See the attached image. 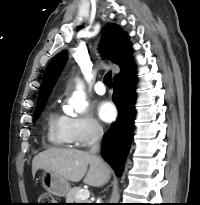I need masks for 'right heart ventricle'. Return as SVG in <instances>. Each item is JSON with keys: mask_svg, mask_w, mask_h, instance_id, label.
I'll return each instance as SVG.
<instances>
[{"mask_svg": "<svg viewBox=\"0 0 200 205\" xmlns=\"http://www.w3.org/2000/svg\"><path fill=\"white\" fill-rule=\"evenodd\" d=\"M47 127V137L51 143L59 146L70 144L65 132L64 116L50 114Z\"/></svg>", "mask_w": 200, "mask_h": 205, "instance_id": "obj_1", "label": "right heart ventricle"}]
</instances>
